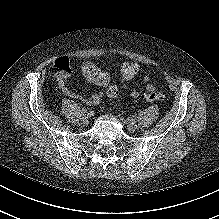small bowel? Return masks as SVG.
Listing matches in <instances>:
<instances>
[{
    "instance_id": "1",
    "label": "small bowel",
    "mask_w": 219,
    "mask_h": 219,
    "mask_svg": "<svg viewBox=\"0 0 219 219\" xmlns=\"http://www.w3.org/2000/svg\"><path fill=\"white\" fill-rule=\"evenodd\" d=\"M92 68H98L96 65H94L93 63H85L84 65H82L81 67V74L82 76L84 77V79L86 80V82L89 84V85H99L97 82H96V75L91 71ZM99 71H101L99 68H98ZM136 76V75H135ZM135 76L133 77H130V78H124L126 80H130V79H133ZM143 81L144 83H146V90L147 91H153L154 90V86L150 83V79L149 77L145 76L143 78ZM59 87L61 89V91L68 97L70 98H73V99H77V100H80L84 103H86L87 105H90V106H96L98 105L104 95L103 93H96V94H93V95H90L88 97H83L81 95H78L74 92H72L64 83H60L59 84ZM133 97L134 96H137L138 93L134 92L133 94Z\"/></svg>"
}]
</instances>
